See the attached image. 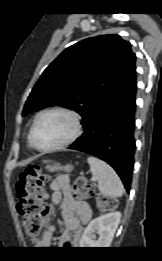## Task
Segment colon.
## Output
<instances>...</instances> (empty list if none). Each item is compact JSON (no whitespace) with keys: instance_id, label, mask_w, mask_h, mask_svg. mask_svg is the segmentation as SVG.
I'll return each mask as SVG.
<instances>
[{"instance_id":"5ec220e1","label":"colon","mask_w":162,"mask_h":261,"mask_svg":"<svg viewBox=\"0 0 162 261\" xmlns=\"http://www.w3.org/2000/svg\"><path fill=\"white\" fill-rule=\"evenodd\" d=\"M47 178L36 166L28 167L19 176L16 183L17 210L22 218L26 234L37 237L42 229L43 217L46 210L41 205V195ZM94 186L84 177H79L74 182V198L78 201L93 198ZM116 201L112 197L98 195L97 206L101 210L115 207Z\"/></svg>"}]
</instances>
